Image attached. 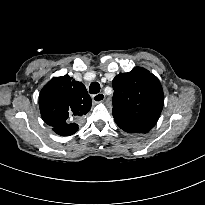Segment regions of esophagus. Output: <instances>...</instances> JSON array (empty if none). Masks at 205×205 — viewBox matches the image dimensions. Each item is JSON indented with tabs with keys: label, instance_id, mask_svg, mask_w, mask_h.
<instances>
[{
	"label": "esophagus",
	"instance_id": "esophagus-1",
	"mask_svg": "<svg viewBox=\"0 0 205 205\" xmlns=\"http://www.w3.org/2000/svg\"><path fill=\"white\" fill-rule=\"evenodd\" d=\"M105 95L103 93H98L92 96V100L94 103H100L104 101Z\"/></svg>",
	"mask_w": 205,
	"mask_h": 205
}]
</instances>
